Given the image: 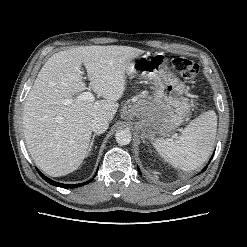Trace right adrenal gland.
<instances>
[{
	"label": "right adrenal gland",
	"instance_id": "2a0ac1e0",
	"mask_svg": "<svg viewBox=\"0 0 247 247\" xmlns=\"http://www.w3.org/2000/svg\"><path fill=\"white\" fill-rule=\"evenodd\" d=\"M96 136H99V134H98V133H95V134L92 135V139H91V142H90V145H89V149H88L89 153H90V152L92 151V149H93L94 140H95V137H96Z\"/></svg>",
	"mask_w": 247,
	"mask_h": 247
}]
</instances>
